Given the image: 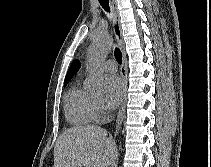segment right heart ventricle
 I'll list each match as a JSON object with an SVG mask.
<instances>
[{"instance_id":"obj_1","label":"right heart ventricle","mask_w":211,"mask_h":167,"mask_svg":"<svg viewBox=\"0 0 211 167\" xmlns=\"http://www.w3.org/2000/svg\"><path fill=\"white\" fill-rule=\"evenodd\" d=\"M93 95L79 81L73 84L65 96V115L69 122L85 125L96 117L92 106Z\"/></svg>"}]
</instances>
